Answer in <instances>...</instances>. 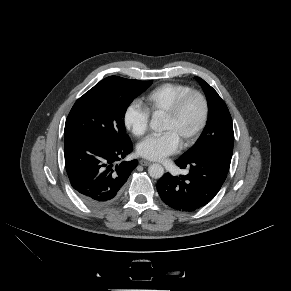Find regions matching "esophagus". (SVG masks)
<instances>
[{"instance_id":"obj_1","label":"esophagus","mask_w":291,"mask_h":291,"mask_svg":"<svg viewBox=\"0 0 291 291\" xmlns=\"http://www.w3.org/2000/svg\"><path fill=\"white\" fill-rule=\"evenodd\" d=\"M139 163H140V165H142V166H149V165L151 164L150 161H147V160H144V159H141V160L139 161Z\"/></svg>"}]
</instances>
